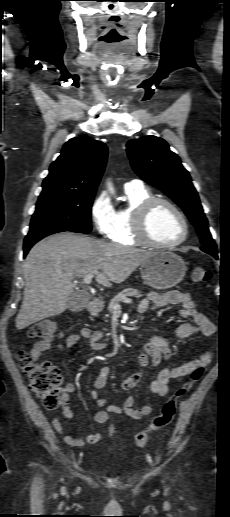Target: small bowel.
Segmentation results:
<instances>
[{
	"label": "small bowel",
	"mask_w": 230,
	"mask_h": 517,
	"mask_svg": "<svg viewBox=\"0 0 230 517\" xmlns=\"http://www.w3.org/2000/svg\"><path fill=\"white\" fill-rule=\"evenodd\" d=\"M168 305H181V309L178 315L181 318H191L193 322H185L181 324L176 332L175 340H184L194 335H200L203 337L213 336L217 328L208 317L201 313L189 293H183L178 291H169L166 293L150 292L143 298L138 306V311L144 313L152 307H163ZM103 334L98 331H93L90 328H83L79 333H74L67 336L62 340L55 351H62L76 346L82 341H87L92 349L96 351L104 350L107 345L101 341ZM51 345L47 341H38L34 344L31 349V356L34 359H39L40 356L50 350ZM172 355V339L159 335H149L141 348L138 356V362L140 365L139 371L122 380L119 383V387L122 390L129 391L133 389L141 380L144 370L149 367H156L163 361L168 360ZM212 361V351L207 350L201 354L199 358L187 361L178 366H169L161 369L156 377L150 383V391L158 396L164 397L170 393V381L175 379L177 381L182 380L185 376L190 374L197 367H204L210 364ZM110 375L108 367L103 366L100 370L99 375L93 381V389L90 391V396L96 400V404L99 409L94 413L93 420L97 424L106 423L109 414H124L134 419H140L148 416L153 412V408L150 405H144L140 408H134L135 399L132 396L127 397L122 405H109L107 406V400L102 398L98 394V390L104 388L107 384ZM76 390V386L73 383H66L64 387V394L61 399V410L62 415L72 420L74 418V412L69 406V398L72 393ZM52 426L56 432L63 437V441L73 447H82L86 444H96L101 440V433L95 432L88 434L84 438H75L70 434H67L64 427L57 416L52 417Z\"/></svg>",
	"instance_id": "obj_1"
}]
</instances>
